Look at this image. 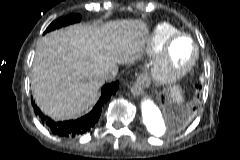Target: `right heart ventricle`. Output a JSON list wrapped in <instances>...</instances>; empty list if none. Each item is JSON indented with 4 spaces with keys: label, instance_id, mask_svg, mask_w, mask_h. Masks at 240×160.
Returning <instances> with one entry per match:
<instances>
[{
    "label": "right heart ventricle",
    "instance_id": "1",
    "mask_svg": "<svg viewBox=\"0 0 240 160\" xmlns=\"http://www.w3.org/2000/svg\"><path fill=\"white\" fill-rule=\"evenodd\" d=\"M177 33H179V29L172 24L167 22L158 23L144 42V55L148 58L157 56L164 44Z\"/></svg>",
    "mask_w": 240,
    "mask_h": 160
}]
</instances>
